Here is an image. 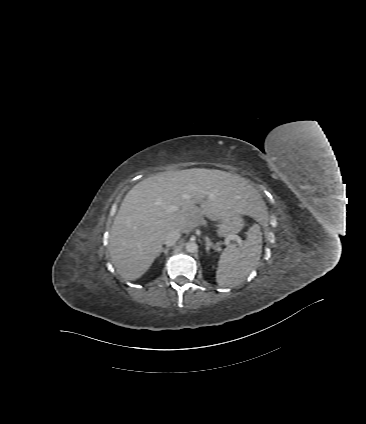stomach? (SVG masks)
<instances>
[{
	"instance_id": "obj_1",
	"label": "stomach",
	"mask_w": 366,
	"mask_h": 424,
	"mask_svg": "<svg viewBox=\"0 0 366 424\" xmlns=\"http://www.w3.org/2000/svg\"><path fill=\"white\" fill-rule=\"evenodd\" d=\"M244 226L242 215H234L221 219L217 233L221 237H227L238 233Z\"/></svg>"
}]
</instances>
